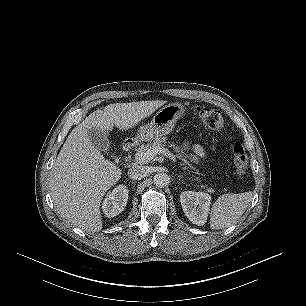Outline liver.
Wrapping results in <instances>:
<instances>
[{
  "label": "liver",
  "mask_w": 306,
  "mask_h": 306,
  "mask_svg": "<svg viewBox=\"0 0 306 306\" xmlns=\"http://www.w3.org/2000/svg\"><path fill=\"white\" fill-rule=\"evenodd\" d=\"M166 101L115 103L96 110L69 134L51 170L50 192L60 216L87 232L103 227L100 205L103 196L121 178L122 171L91 142L89 131L107 135L116 126L128 130L150 116Z\"/></svg>",
  "instance_id": "obj_1"
}]
</instances>
